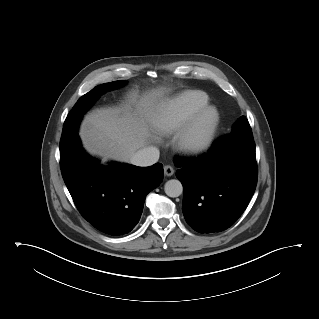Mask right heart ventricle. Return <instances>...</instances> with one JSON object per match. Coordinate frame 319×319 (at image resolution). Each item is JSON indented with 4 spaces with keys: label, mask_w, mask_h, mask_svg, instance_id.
Wrapping results in <instances>:
<instances>
[{
    "label": "right heart ventricle",
    "mask_w": 319,
    "mask_h": 319,
    "mask_svg": "<svg viewBox=\"0 0 319 319\" xmlns=\"http://www.w3.org/2000/svg\"><path fill=\"white\" fill-rule=\"evenodd\" d=\"M209 103L206 93L198 90L184 91L164 103L154 112L152 124L154 129L165 136L180 132L193 115Z\"/></svg>",
    "instance_id": "e07e8e85"
}]
</instances>
